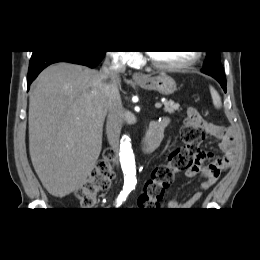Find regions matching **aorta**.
Returning a JSON list of instances; mask_svg holds the SVG:
<instances>
[{"label":"aorta","mask_w":260,"mask_h":260,"mask_svg":"<svg viewBox=\"0 0 260 260\" xmlns=\"http://www.w3.org/2000/svg\"><path fill=\"white\" fill-rule=\"evenodd\" d=\"M119 158L124 173L125 183L134 185L136 183L135 158L130 143V138L126 135H124L121 139Z\"/></svg>","instance_id":"aorta-1"}]
</instances>
